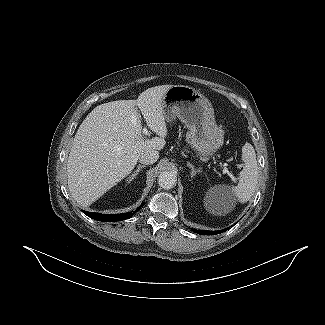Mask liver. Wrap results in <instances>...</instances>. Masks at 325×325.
I'll use <instances>...</instances> for the list:
<instances>
[{"instance_id":"6515ba94","label":"liver","mask_w":325,"mask_h":325,"mask_svg":"<svg viewBox=\"0 0 325 325\" xmlns=\"http://www.w3.org/2000/svg\"><path fill=\"white\" fill-rule=\"evenodd\" d=\"M173 85L140 93L137 100H118L95 107L74 137L67 163L68 187L74 200L87 207L135 167L146 150L164 148L167 127L162 98ZM159 137L145 139L137 113Z\"/></svg>"}]
</instances>
